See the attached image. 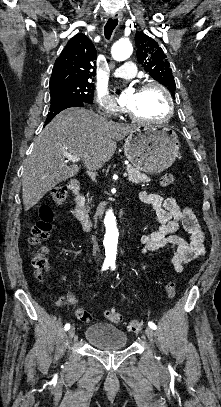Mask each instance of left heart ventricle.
<instances>
[{"instance_id":"obj_1","label":"left heart ventricle","mask_w":221,"mask_h":407,"mask_svg":"<svg viewBox=\"0 0 221 407\" xmlns=\"http://www.w3.org/2000/svg\"><path fill=\"white\" fill-rule=\"evenodd\" d=\"M125 105L138 116L148 120H158L167 113V99L158 88L146 91H133L128 95Z\"/></svg>"}]
</instances>
